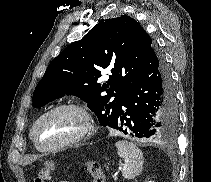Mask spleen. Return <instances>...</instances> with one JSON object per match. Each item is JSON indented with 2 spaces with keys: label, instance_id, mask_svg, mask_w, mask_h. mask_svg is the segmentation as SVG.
Segmentation results:
<instances>
[{
  "label": "spleen",
  "instance_id": "3e777b00",
  "mask_svg": "<svg viewBox=\"0 0 211 182\" xmlns=\"http://www.w3.org/2000/svg\"><path fill=\"white\" fill-rule=\"evenodd\" d=\"M117 153L120 158L124 159L122 175L125 179L130 180L139 176L143 170V153L133 143L122 140L116 143Z\"/></svg>",
  "mask_w": 211,
  "mask_h": 182
}]
</instances>
